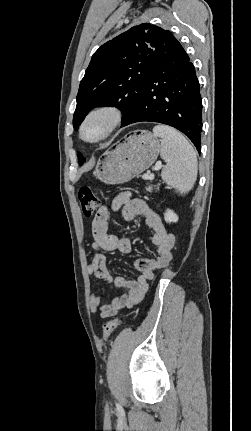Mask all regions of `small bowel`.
Segmentation results:
<instances>
[{
  "instance_id": "c3829d8e",
  "label": "small bowel",
  "mask_w": 251,
  "mask_h": 431,
  "mask_svg": "<svg viewBox=\"0 0 251 431\" xmlns=\"http://www.w3.org/2000/svg\"><path fill=\"white\" fill-rule=\"evenodd\" d=\"M112 211H122L125 220L137 217L144 219L146 225L152 229L151 242L156 248V257L153 259H139L134 266L140 272L135 280H128L122 276H112L106 267L103 251H119L124 254L131 252V242L128 238L117 236L108 232L109 208L102 206L92 221L93 241L91 247L93 255L88 266V274L105 283H112L115 287L124 289V293L116 296L111 302L103 303L96 293L91 295V310L99 313L101 318H108L123 309H131L144 296L149 281L157 270L166 267L173 256L175 236L169 232L161 216L145 201L132 198L129 193L118 194L112 201Z\"/></svg>"
}]
</instances>
